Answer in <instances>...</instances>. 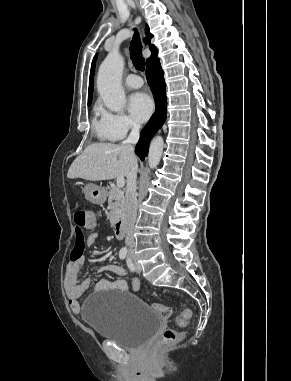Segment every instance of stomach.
Segmentation results:
<instances>
[{
	"instance_id": "stomach-1",
	"label": "stomach",
	"mask_w": 291,
	"mask_h": 381,
	"mask_svg": "<svg viewBox=\"0 0 291 381\" xmlns=\"http://www.w3.org/2000/svg\"><path fill=\"white\" fill-rule=\"evenodd\" d=\"M83 191L86 199L94 204H102L106 200V194L103 188L94 183L86 184Z\"/></svg>"
}]
</instances>
